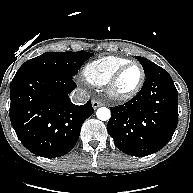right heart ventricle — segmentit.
I'll use <instances>...</instances> for the list:
<instances>
[{"label":"right heart ventricle","instance_id":"obj_1","mask_svg":"<svg viewBox=\"0 0 193 193\" xmlns=\"http://www.w3.org/2000/svg\"><path fill=\"white\" fill-rule=\"evenodd\" d=\"M130 62L118 56H105L88 62L82 69V78L90 85L101 87L107 84L113 73Z\"/></svg>","mask_w":193,"mask_h":193}]
</instances>
